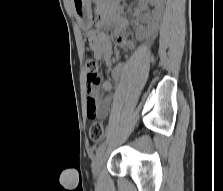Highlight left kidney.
Listing matches in <instances>:
<instances>
[{
    "mask_svg": "<svg viewBox=\"0 0 223 191\" xmlns=\"http://www.w3.org/2000/svg\"><path fill=\"white\" fill-rule=\"evenodd\" d=\"M165 0H140L139 6L141 8H147L149 5L154 7L152 11V21L147 28H140L138 34L140 36H151L158 28L159 21L161 19Z\"/></svg>",
    "mask_w": 223,
    "mask_h": 191,
    "instance_id": "obj_1",
    "label": "left kidney"
}]
</instances>
